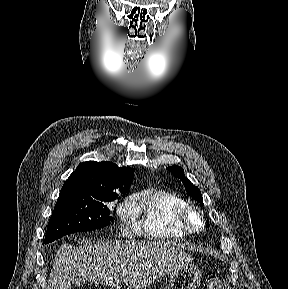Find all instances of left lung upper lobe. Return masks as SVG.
I'll use <instances>...</instances> for the list:
<instances>
[{
	"mask_svg": "<svg viewBox=\"0 0 288 289\" xmlns=\"http://www.w3.org/2000/svg\"><path fill=\"white\" fill-rule=\"evenodd\" d=\"M168 170L173 173L175 177L180 178L183 182L186 192L190 197L195 199L196 201L202 203V194L198 187L194 186L184 175V171L179 166H171L168 167Z\"/></svg>",
	"mask_w": 288,
	"mask_h": 289,
	"instance_id": "obj_1",
	"label": "left lung upper lobe"
}]
</instances>
